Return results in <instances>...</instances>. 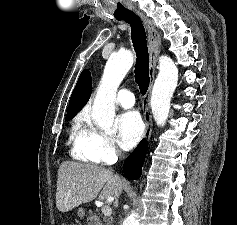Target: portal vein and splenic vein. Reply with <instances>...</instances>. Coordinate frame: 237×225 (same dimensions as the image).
Returning <instances> with one entry per match:
<instances>
[{
    "label": "portal vein and splenic vein",
    "instance_id": "portal-vein-and-splenic-vein-1",
    "mask_svg": "<svg viewBox=\"0 0 237 225\" xmlns=\"http://www.w3.org/2000/svg\"><path fill=\"white\" fill-rule=\"evenodd\" d=\"M102 213L105 215V216H111L112 214V209L110 206H104L102 207Z\"/></svg>",
    "mask_w": 237,
    "mask_h": 225
}]
</instances>
